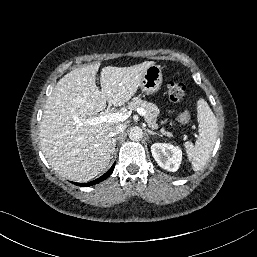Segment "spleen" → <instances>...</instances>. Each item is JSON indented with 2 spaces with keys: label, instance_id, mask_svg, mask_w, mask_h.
<instances>
[{
  "label": "spleen",
  "instance_id": "obj_1",
  "mask_svg": "<svg viewBox=\"0 0 257 257\" xmlns=\"http://www.w3.org/2000/svg\"><path fill=\"white\" fill-rule=\"evenodd\" d=\"M197 113L199 135L195 145L191 142L185 143L186 152L194 171L200 170L208 161L213 151L218 132L217 119L203 98L197 102Z\"/></svg>",
  "mask_w": 257,
  "mask_h": 257
}]
</instances>
